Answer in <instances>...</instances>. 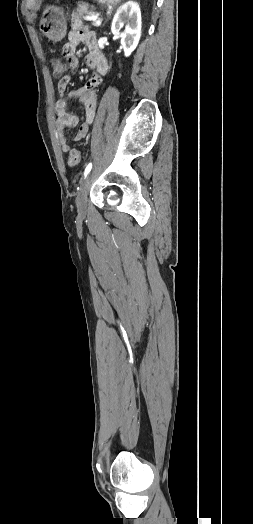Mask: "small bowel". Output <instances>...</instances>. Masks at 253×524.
<instances>
[{
	"mask_svg": "<svg viewBox=\"0 0 253 524\" xmlns=\"http://www.w3.org/2000/svg\"><path fill=\"white\" fill-rule=\"evenodd\" d=\"M83 43L89 49L85 56L87 66L92 70L90 79L80 88L67 91V84L70 76L75 74V69L78 65L76 58V48ZM63 53L65 55L64 62L68 68V74H64L57 85V90L60 95L55 104L57 113V120L55 124L56 134L64 152L70 150L69 142L65 136V128H74L78 124V118L71 114L67 109V98H78L84 106V120L79 126L74 141L82 140L88 133L90 126L93 124L97 107L98 96L96 88L100 85L103 77L108 72V63L97 46L95 33L82 25L80 20H74L72 30L69 34V41L65 44Z\"/></svg>",
	"mask_w": 253,
	"mask_h": 524,
	"instance_id": "small-bowel-1",
	"label": "small bowel"
}]
</instances>
